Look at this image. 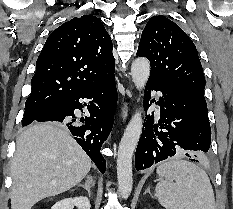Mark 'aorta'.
Here are the masks:
<instances>
[{
    "label": "aorta",
    "mask_w": 233,
    "mask_h": 209,
    "mask_svg": "<svg viewBox=\"0 0 233 209\" xmlns=\"http://www.w3.org/2000/svg\"><path fill=\"white\" fill-rule=\"evenodd\" d=\"M150 75V63L146 58H136L131 65L132 80L142 90ZM143 126L141 112H136L127 125L117 154L118 190L122 198H128L132 191V156L139 141Z\"/></svg>",
    "instance_id": "obj_1"
}]
</instances>
